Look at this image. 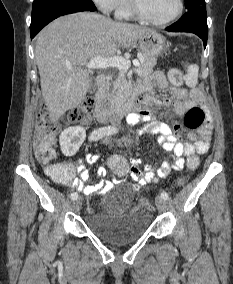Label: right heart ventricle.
I'll return each instance as SVG.
<instances>
[{
	"label": "right heart ventricle",
	"instance_id": "e07e8e85",
	"mask_svg": "<svg viewBox=\"0 0 233 284\" xmlns=\"http://www.w3.org/2000/svg\"><path fill=\"white\" fill-rule=\"evenodd\" d=\"M116 16L123 19H131L134 17L129 0H122L116 8Z\"/></svg>",
	"mask_w": 233,
	"mask_h": 284
}]
</instances>
